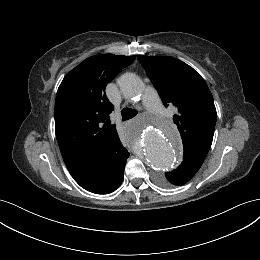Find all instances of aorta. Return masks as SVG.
Returning <instances> with one entry per match:
<instances>
[{
    "instance_id": "1",
    "label": "aorta",
    "mask_w": 260,
    "mask_h": 260,
    "mask_svg": "<svg viewBox=\"0 0 260 260\" xmlns=\"http://www.w3.org/2000/svg\"><path fill=\"white\" fill-rule=\"evenodd\" d=\"M124 97L134 98L141 94L144 84L133 73L124 74L119 81ZM140 134L142 155L147 164L164 172L172 170L179 161L180 143L175 128L168 123H153L152 127L133 131Z\"/></svg>"
}]
</instances>
